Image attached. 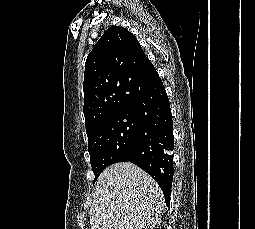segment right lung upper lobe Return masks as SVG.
I'll return each instance as SVG.
<instances>
[{"instance_id":"1","label":"right lung upper lobe","mask_w":255,"mask_h":229,"mask_svg":"<svg viewBox=\"0 0 255 229\" xmlns=\"http://www.w3.org/2000/svg\"><path fill=\"white\" fill-rule=\"evenodd\" d=\"M155 73L131 32L119 26L108 28L85 63L83 113L87 136L124 110Z\"/></svg>"}]
</instances>
